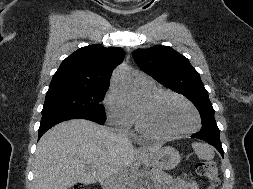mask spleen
<instances>
[{
  "label": "spleen",
  "instance_id": "1",
  "mask_svg": "<svg viewBox=\"0 0 253 189\" xmlns=\"http://www.w3.org/2000/svg\"><path fill=\"white\" fill-rule=\"evenodd\" d=\"M192 148L194 149L196 155L200 159L210 161L215 156L214 149L212 148V146H210L208 144L194 142V143H192Z\"/></svg>",
  "mask_w": 253,
  "mask_h": 189
}]
</instances>
